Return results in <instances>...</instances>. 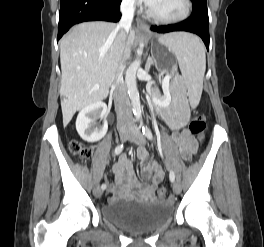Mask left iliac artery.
Segmentation results:
<instances>
[{
  "mask_svg": "<svg viewBox=\"0 0 264 247\" xmlns=\"http://www.w3.org/2000/svg\"><path fill=\"white\" fill-rule=\"evenodd\" d=\"M141 124H142L143 135H145L149 140H152L153 139V134H152L151 130L142 121H141ZM169 178H170L171 182H174L175 174H174V172L172 170H170Z\"/></svg>",
  "mask_w": 264,
  "mask_h": 247,
  "instance_id": "left-iliac-artery-1",
  "label": "left iliac artery"
}]
</instances>
